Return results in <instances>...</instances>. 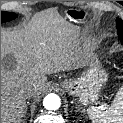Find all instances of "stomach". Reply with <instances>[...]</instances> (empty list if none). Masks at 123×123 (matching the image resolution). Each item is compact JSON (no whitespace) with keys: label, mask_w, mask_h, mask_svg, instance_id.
Wrapping results in <instances>:
<instances>
[{"label":"stomach","mask_w":123,"mask_h":123,"mask_svg":"<svg viewBox=\"0 0 123 123\" xmlns=\"http://www.w3.org/2000/svg\"><path fill=\"white\" fill-rule=\"evenodd\" d=\"M66 18L75 23H82L85 13L77 9H69L63 12ZM107 73L95 58L91 60L89 67L75 79H65L60 86L71 96L78 97L83 105L92 103L98 99L102 86L107 81Z\"/></svg>","instance_id":"1"}]
</instances>
